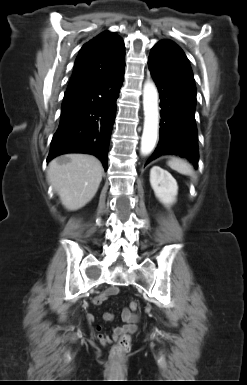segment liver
I'll list each match as a JSON object with an SVG mask.
<instances>
[{"instance_id":"liver-1","label":"liver","mask_w":247,"mask_h":385,"mask_svg":"<svg viewBox=\"0 0 247 385\" xmlns=\"http://www.w3.org/2000/svg\"><path fill=\"white\" fill-rule=\"evenodd\" d=\"M102 174V164L96 157L67 154L49 163L47 178L63 206L75 211L95 196Z\"/></svg>"}]
</instances>
